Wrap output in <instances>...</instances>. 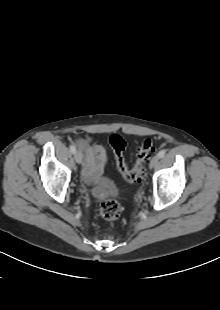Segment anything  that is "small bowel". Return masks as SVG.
I'll return each mask as SVG.
<instances>
[{
	"label": "small bowel",
	"mask_w": 220,
	"mask_h": 310,
	"mask_svg": "<svg viewBox=\"0 0 220 310\" xmlns=\"http://www.w3.org/2000/svg\"><path fill=\"white\" fill-rule=\"evenodd\" d=\"M75 144L84 157V181L86 183L99 181V187L95 189V193L97 195H101L104 190H111V182L107 179L101 178L108 159L105 147L99 144H93L90 136H84L76 139Z\"/></svg>",
	"instance_id": "small-bowel-1"
}]
</instances>
